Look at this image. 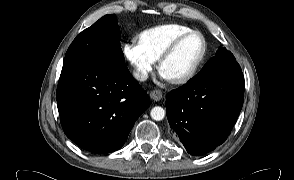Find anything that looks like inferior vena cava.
I'll list each match as a JSON object with an SVG mask.
<instances>
[{
  "label": "inferior vena cava",
  "instance_id": "1",
  "mask_svg": "<svg viewBox=\"0 0 294 180\" xmlns=\"http://www.w3.org/2000/svg\"><path fill=\"white\" fill-rule=\"evenodd\" d=\"M134 77L139 81H145L148 78V73L145 70H135L133 72Z\"/></svg>",
  "mask_w": 294,
  "mask_h": 180
}]
</instances>
